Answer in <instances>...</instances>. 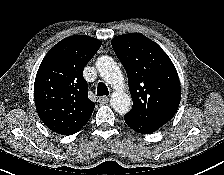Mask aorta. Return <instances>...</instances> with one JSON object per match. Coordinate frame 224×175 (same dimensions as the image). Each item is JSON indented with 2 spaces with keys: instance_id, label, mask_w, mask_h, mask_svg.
Listing matches in <instances>:
<instances>
[{
  "instance_id": "aorta-1",
  "label": "aorta",
  "mask_w": 224,
  "mask_h": 175,
  "mask_svg": "<svg viewBox=\"0 0 224 175\" xmlns=\"http://www.w3.org/2000/svg\"><path fill=\"white\" fill-rule=\"evenodd\" d=\"M100 76L115 90L111 95V106L119 114H126L131 109V98L123 91L124 77L112 57L101 56L96 61Z\"/></svg>"
}]
</instances>
